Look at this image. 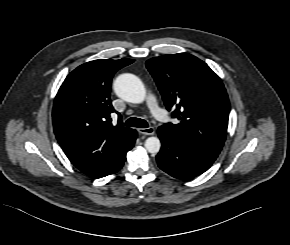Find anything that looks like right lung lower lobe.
Masks as SVG:
<instances>
[{
	"label": "right lung lower lobe",
	"instance_id": "obj_1",
	"mask_svg": "<svg viewBox=\"0 0 290 245\" xmlns=\"http://www.w3.org/2000/svg\"><path fill=\"white\" fill-rule=\"evenodd\" d=\"M136 139V138H135ZM134 142H135V140H134ZM123 163H124V161L122 162V163H120L119 165H118V167L116 168V169H114L110 174H113V173H115V172H117L118 170H120L121 168H122V166H123ZM110 174H108V175H110ZM107 176V175H106Z\"/></svg>",
	"mask_w": 290,
	"mask_h": 245
}]
</instances>
